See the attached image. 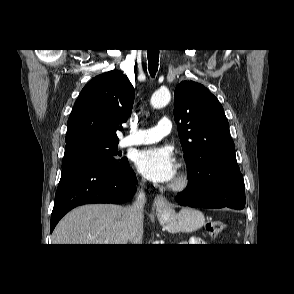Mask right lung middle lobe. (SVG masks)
Instances as JSON below:
<instances>
[{
  "mask_svg": "<svg viewBox=\"0 0 294 294\" xmlns=\"http://www.w3.org/2000/svg\"><path fill=\"white\" fill-rule=\"evenodd\" d=\"M118 142L82 139L66 144L62 169L82 163H96L104 166L120 167L128 163L127 158L117 152Z\"/></svg>",
  "mask_w": 294,
  "mask_h": 294,
  "instance_id": "obj_1",
  "label": "right lung middle lobe"
}]
</instances>
